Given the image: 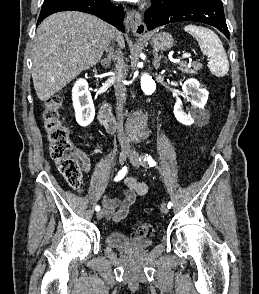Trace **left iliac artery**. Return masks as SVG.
I'll return each mask as SVG.
<instances>
[{
  "instance_id": "obj_1",
  "label": "left iliac artery",
  "mask_w": 259,
  "mask_h": 294,
  "mask_svg": "<svg viewBox=\"0 0 259 294\" xmlns=\"http://www.w3.org/2000/svg\"><path fill=\"white\" fill-rule=\"evenodd\" d=\"M139 160L143 163L146 161L150 167L156 166L155 160L150 155L142 156ZM167 206L168 208H171L173 206L172 202H168Z\"/></svg>"
}]
</instances>
